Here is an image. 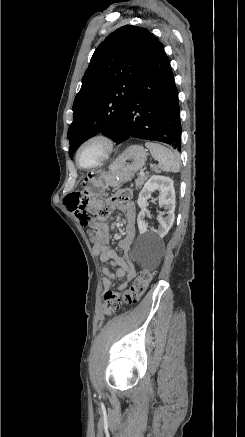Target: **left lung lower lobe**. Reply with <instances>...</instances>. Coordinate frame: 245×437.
<instances>
[{
    "label": "left lung lower lobe",
    "mask_w": 245,
    "mask_h": 437,
    "mask_svg": "<svg viewBox=\"0 0 245 437\" xmlns=\"http://www.w3.org/2000/svg\"><path fill=\"white\" fill-rule=\"evenodd\" d=\"M178 91L163 45L160 43L136 81L123 115L117 144L132 137L155 140L181 149Z\"/></svg>",
    "instance_id": "0a47b994"
}]
</instances>
